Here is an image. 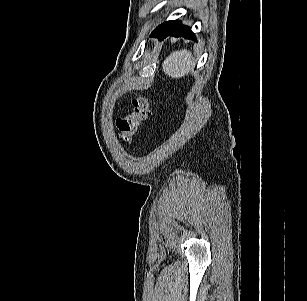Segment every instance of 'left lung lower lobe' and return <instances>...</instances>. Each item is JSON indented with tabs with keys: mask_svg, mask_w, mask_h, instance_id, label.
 <instances>
[{
	"mask_svg": "<svg viewBox=\"0 0 307 301\" xmlns=\"http://www.w3.org/2000/svg\"><path fill=\"white\" fill-rule=\"evenodd\" d=\"M151 36H154L159 40H163L168 36H173L194 39L196 41V37L191 31V28L182 25V23L177 20H170L157 26V28L151 33Z\"/></svg>",
	"mask_w": 307,
	"mask_h": 301,
	"instance_id": "0a47b994",
	"label": "left lung lower lobe"
}]
</instances>
